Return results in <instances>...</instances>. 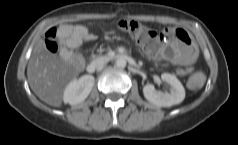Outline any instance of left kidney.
Listing matches in <instances>:
<instances>
[{"mask_svg": "<svg viewBox=\"0 0 238 145\" xmlns=\"http://www.w3.org/2000/svg\"><path fill=\"white\" fill-rule=\"evenodd\" d=\"M161 79L172 87L171 93L158 92L153 85L147 84L143 88L145 98L159 107H170L181 103L185 98V89L181 82L175 75L169 73H163Z\"/></svg>", "mask_w": 238, "mask_h": 145, "instance_id": "obj_1", "label": "left kidney"}]
</instances>
